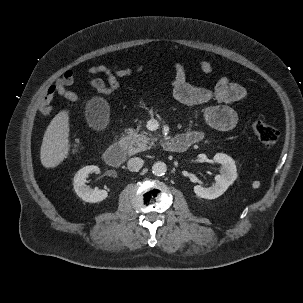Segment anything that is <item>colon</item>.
Returning a JSON list of instances; mask_svg holds the SVG:
<instances>
[{"mask_svg": "<svg viewBox=\"0 0 303 303\" xmlns=\"http://www.w3.org/2000/svg\"><path fill=\"white\" fill-rule=\"evenodd\" d=\"M111 93H112V91H110L109 88H106L104 96L109 95ZM249 127H250V130L258 137V139L267 146H274L280 140L279 131L276 128H274L260 120L251 121L249 124ZM79 145H80V142L78 139L73 141L72 146H71L72 153H76L78 151Z\"/></svg>", "mask_w": 303, "mask_h": 303, "instance_id": "1", "label": "colon"}]
</instances>
